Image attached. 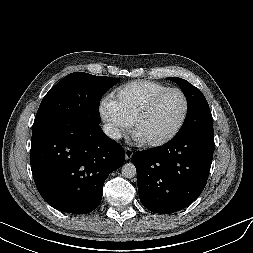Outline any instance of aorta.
Here are the masks:
<instances>
[{
    "instance_id": "obj_1",
    "label": "aorta",
    "mask_w": 253,
    "mask_h": 253,
    "mask_svg": "<svg viewBox=\"0 0 253 253\" xmlns=\"http://www.w3.org/2000/svg\"><path fill=\"white\" fill-rule=\"evenodd\" d=\"M137 173L136 167L133 163H126L122 166V175L125 178H133Z\"/></svg>"
}]
</instances>
